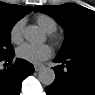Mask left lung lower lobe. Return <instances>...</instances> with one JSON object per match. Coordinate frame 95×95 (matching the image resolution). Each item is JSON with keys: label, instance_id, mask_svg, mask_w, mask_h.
Returning a JSON list of instances; mask_svg holds the SVG:
<instances>
[{"label": "left lung lower lobe", "instance_id": "obj_1", "mask_svg": "<svg viewBox=\"0 0 95 95\" xmlns=\"http://www.w3.org/2000/svg\"><path fill=\"white\" fill-rule=\"evenodd\" d=\"M54 62L62 65L54 67L56 77L45 88L47 95H95V52L58 56Z\"/></svg>", "mask_w": 95, "mask_h": 95}]
</instances>
